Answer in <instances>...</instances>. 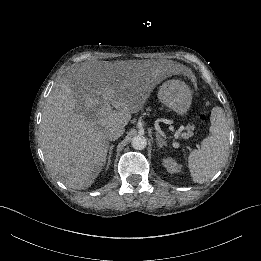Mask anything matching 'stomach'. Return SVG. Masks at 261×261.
<instances>
[{"label": "stomach", "mask_w": 261, "mask_h": 261, "mask_svg": "<svg viewBox=\"0 0 261 261\" xmlns=\"http://www.w3.org/2000/svg\"><path fill=\"white\" fill-rule=\"evenodd\" d=\"M159 99L177 117L184 119L192 107L193 92L185 82L170 80L160 87Z\"/></svg>", "instance_id": "0dacf381"}]
</instances>
